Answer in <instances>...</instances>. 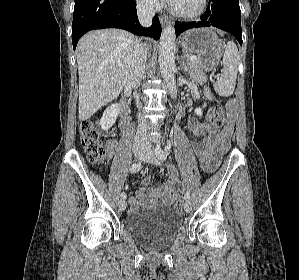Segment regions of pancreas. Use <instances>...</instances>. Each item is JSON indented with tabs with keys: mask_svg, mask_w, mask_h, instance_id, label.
<instances>
[{
	"mask_svg": "<svg viewBox=\"0 0 299 280\" xmlns=\"http://www.w3.org/2000/svg\"><path fill=\"white\" fill-rule=\"evenodd\" d=\"M186 67L193 83L204 84L207 82V76L203 72L198 60L188 61Z\"/></svg>",
	"mask_w": 299,
	"mask_h": 280,
	"instance_id": "obj_1",
	"label": "pancreas"
}]
</instances>
